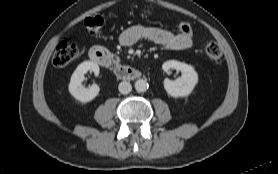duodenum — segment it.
<instances>
[{"instance_id":"1","label":"duodenum","mask_w":278,"mask_h":174,"mask_svg":"<svg viewBox=\"0 0 278 174\" xmlns=\"http://www.w3.org/2000/svg\"><path fill=\"white\" fill-rule=\"evenodd\" d=\"M90 59L103 67H113L118 78L123 80H132L141 77V72L127 65L114 64L112 56L109 52L100 46H94L89 51Z\"/></svg>"}]
</instances>
